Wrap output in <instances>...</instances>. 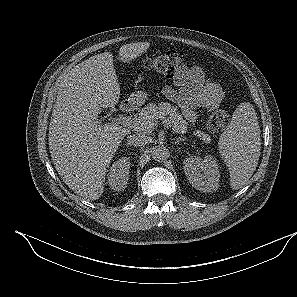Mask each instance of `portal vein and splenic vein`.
Masks as SVG:
<instances>
[{"mask_svg": "<svg viewBox=\"0 0 297 297\" xmlns=\"http://www.w3.org/2000/svg\"><path fill=\"white\" fill-rule=\"evenodd\" d=\"M119 120L123 122L125 126L132 127V128H138L139 121L137 119H133L131 117H122Z\"/></svg>", "mask_w": 297, "mask_h": 297, "instance_id": "18ae733b", "label": "portal vein and splenic vein"}]
</instances>
